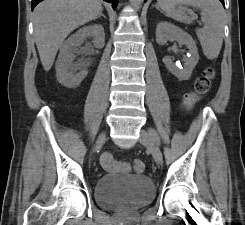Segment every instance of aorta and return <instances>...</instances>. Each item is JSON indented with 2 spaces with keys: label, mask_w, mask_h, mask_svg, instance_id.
Masks as SVG:
<instances>
[{
  "label": "aorta",
  "mask_w": 245,
  "mask_h": 225,
  "mask_svg": "<svg viewBox=\"0 0 245 225\" xmlns=\"http://www.w3.org/2000/svg\"><path fill=\"white\" fill-rule=\"evenodd\" d=\"M143 0H130L131 5L136 8L139 9L142 5Z\"/></svg>",
  "instance_id": "aorta-1"
}]
</instances>
